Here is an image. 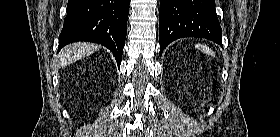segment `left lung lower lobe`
<instances>
[{
    "label": "left lung lower lobe",
    "mask_w": 280,
    "mask_h": 137,
    "mask_svg": "<svg viewBox=\"0 0 280 137\" xmlns=\"http://www.w3.org/2000/svg\"><path fill=\"white\" fill-rule=\"evenodd\" d=\"M199 37L222 44L215 0H160V55L172 41Z\"/></svg>",
    "instance_id": "left-lung-lower-lobe-1"
}]
</instances>
